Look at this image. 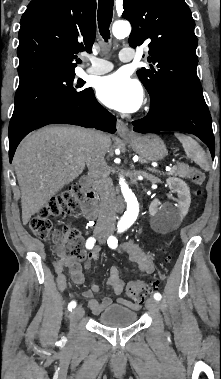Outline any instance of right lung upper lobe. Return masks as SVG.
Wrapping results in <instances>:
<instances>
[{"mask_svg": "<svg viewBox=\"0 0 221 379\" xmlns=\"http://www.w3.org/2000/svg\"><path fill=\"white\" fill-rule=\"evenodd\" d=\"M95 15V0H32L20 22V81L74 71L80 62L76 54L92 50Z\"/></svg>", "mask_w": 221, "mask_h": 379, "instance_id": "obj_1", "label": "right lung upper lobe"}]
</instances>
